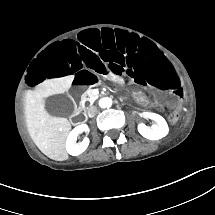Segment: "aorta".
<instances>
[{"label": "aorta", "instance_id": "obj_1", "mask_svg": "<svg viewBox=\"0 0 215 215\" xmlns=\"http://www.w3.org/2000/svg\"><path fill=\"white\" fill-rule=\"evenodd\" d=\"M99 106L101 108H110L112 106V99L109 97H103L99 100Z\"/></svg>", "mask_w": 215, "mask_h": 215}]
</instances>
